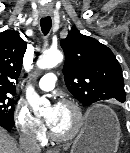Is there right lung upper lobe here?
I'll return each mask as SVG.
<instances>
[{"instance_id": "obj_1", "label": "right lung upper lobe", "mask_w": 130, "mask_h": 153, "mask_svg": "<svg viewBox=\"0 0 130 153\" xmlns=\"http://www.w3.org/2000/svg\"><path fill=\"white\" fill-rule=\"evenodd\" d=\"M27 44L14 30L0 33V93L14 94Z\"/></svg>"}]
</instances>
